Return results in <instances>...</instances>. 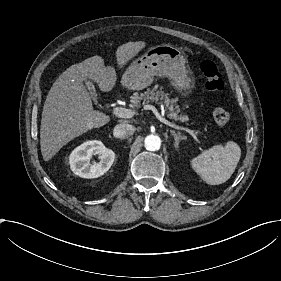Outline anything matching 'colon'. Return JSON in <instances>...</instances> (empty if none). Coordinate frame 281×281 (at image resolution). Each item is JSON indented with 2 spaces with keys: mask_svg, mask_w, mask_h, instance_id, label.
Segmentation results:
<instances>
[{
  "mask_svg": "<svg viewBox=\"0 0 281 281\" xmlns=\"http://www.w3.org/2000/svg\"><path fill=\"white\" fill-rule=\"evenodd\" d=\"M205 79L206 87L213 91H219L224 85V79L216 65L212 61H203L200 65ZM214 120L218 125H226L229 122V113L223 109L215 110Z\"/></svg>",
  "mask_w": 281,
  "mask_h": 281,
  "instance_id": "5ec220e1",
  "label": "colon"
}]
</instances>
